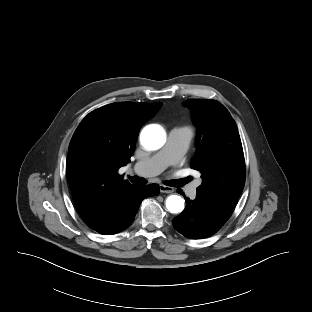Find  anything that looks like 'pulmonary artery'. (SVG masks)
Instances as JSON below:
<instances>
[{
    "mask_svg": "<svg viewBox=\"0 0 312 312\" xmlns=\"http://www.w3.org/2000/svg\"><path fill=\"white\" fill-rule=\"evenodd\" d=\"M191 140V133L186 128H173L168 135L164 147L154 156L139 160L134 164L135 171L143 176L161 173L169 165L178 163L186 153ZM199 182L194 183L188 190L190 197H195Z\"/></svg>",
    "mask_w": 312,
    "mask_h": 312,
    "instance_id": "e3ab8cb5",
    "label": "pulmonary artery"
}]
</instances>
